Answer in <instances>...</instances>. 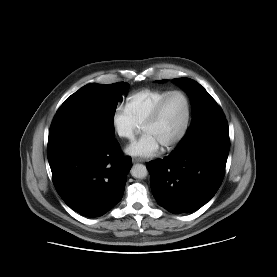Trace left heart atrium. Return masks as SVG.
<instances>
[{
	"instance_id": "39dd6f15",
	"label": "left heart atrium",
	"mask_w": 277,
	"mask_h": 277,
	"mask_svg": "<svg viewBox=\"0 0 277 277\" xmlns=\"http://www.w3.org/2000/svg\"><path fill=\"white\" fill-rule=\"evenodd\" d=\"M161 149L160 143L150 133H144L139 139L126 147V153L133 157L148 158Z\"/></svg>"
}]
</instances>
